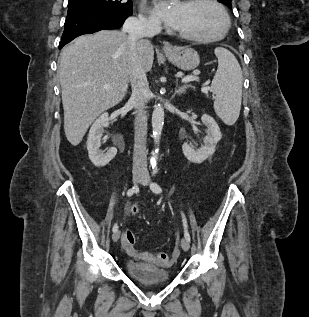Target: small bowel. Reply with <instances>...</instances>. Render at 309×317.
<instances>
[{"label":"small bowel","instance_id":"c3829d8e","mask_svg":"<svg viewBox=\"0 0 309 317\" xmlns=\"http://www.w3.org/2000/svg\"><path fill=\"white\" fill-rule=\"evenodd\" d=\"M127 210L131 213V207L127 206ZM127 251L129 254L131 255H135L136 254V250L133 247H126Z\"/></svg>","mask_w":309,"mask_h":317}]
</instances>
